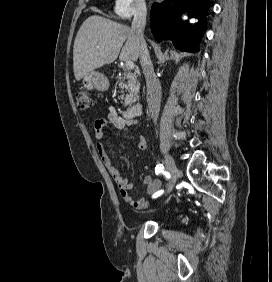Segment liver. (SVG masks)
Segmentation results:
<instances>
[{
	"label": "liver",
	"instance_id": "6515ba94",
	"mask_svg": "<svg viewBox=\"0 0 272 282\" xmlns=\"http://www.w3.org/2000/svg\"><path fill=\"white\" fill-rule=\"evenodd\" d=\"M118 55L121 61H137L140 56V43L131 28L102 16L88 17L74 41L73 70L76 80L112 63Z\"/></svg>",
	"mask_w": 272,
	"mask_h": 282
}]
</instances>
